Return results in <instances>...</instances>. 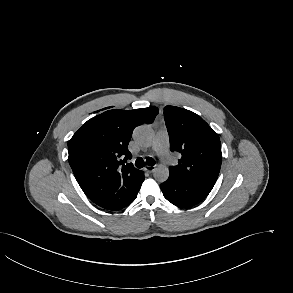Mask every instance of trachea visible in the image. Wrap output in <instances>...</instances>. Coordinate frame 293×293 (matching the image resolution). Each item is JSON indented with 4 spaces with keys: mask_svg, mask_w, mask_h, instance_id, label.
<instances>
[{
    "mask_svg": "<svg viewBox=\"0 0 293 293\" xmlns=\"http://www.w3.org/2000/svg\"><path fill=\"white\" fill-rule=\"evenodd\" d=\"M146 165H149V166H153L155 165V160L151 157H148L146 159ZM135 166L138 167V168H142L145 166V162L144 160L141 158V157H138L135 161Z\"/></svg>",
    "mask_w": 293,
    "mask_h": 293,
    "instance_id": "trachea-1",
    "label": "trachea"
}]
</instances>
